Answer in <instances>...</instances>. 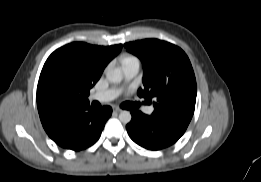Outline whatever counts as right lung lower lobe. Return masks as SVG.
I'll return each mask as SVG.
<instances>
[{
    "instance_id": "1",
    "label": "right lung lower lobe",
    "mask_w": 261,
    "mask_h": 182,
    "mask_svg": "<svg viewBox=\"0 0 261 182\" xmlns=\"http://www.w3.org/2000/svg\"><path fill=\"white\" fill-rule=\"evenodd\" d=\"M111 114L110 106H104L98 111L91 108L83 110L75 115L59 137L52 140L66 149L83 150L99 139Z\"/></svg>"
}]
</instances>
